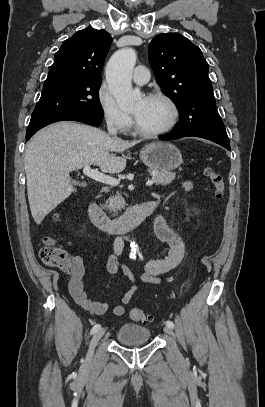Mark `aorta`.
<instances>
[{
	"mask_svg": "<svg viewBox=\"0 0 265 407\" xmlns=\"http://www.w3.org/2000/svg\"><path fill=\"white\" fill-rule=\"evenodd\" d=\"M137 55L134 49L125 48L115 52L106 65V80L120 108L132 107L140 98L139 90H133L131 79ZM130 258H136V245L131 242Z\"/></svg>",
	"mask_w": 265,
	"mask_h": 407,
	"instance_id": "aorta-1",
	"label": "aorta"
}]
</instances>
